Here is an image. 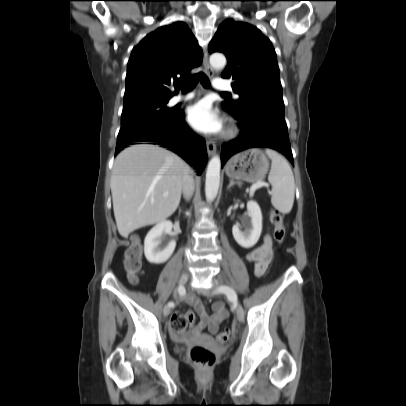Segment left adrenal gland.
Instances as JSON below:
<instances>
[{
  "instance_id": "left-adrenal-gland-1",
  "label": "left adrenal gland",
  "mask_w": 406,
  "mask_h": 406,
  "mask_svg": "<svg viewBox=\"0 0 406 406\" xmlns=\"http://www.w3.org/2000/svg\"><path fill=\"white\" fill-rule=\"evenodd\" d=\"M234 184H236L233 180H230V183L228 185V188H230L231 186H233Z\"/></svg>"
}]
</instances>
